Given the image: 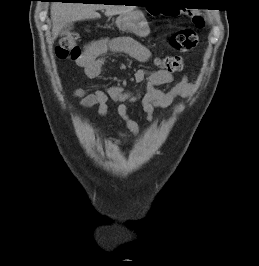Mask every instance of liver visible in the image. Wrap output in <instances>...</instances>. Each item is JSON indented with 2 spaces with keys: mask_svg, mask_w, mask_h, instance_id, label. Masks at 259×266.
<instances>
[{
  "mask_svg": "<svg viewBox=\"0 0 259 266\" xmlns=\"http://www.w3.org/2000/svg\"><path fill=\"white\" fill-rule=\"evenodd\" d=\"M105 9V15H116L132 10L123 5L83 4L55 2L51 5L52 40H55L62 29L72 22L99 18L98 10Z\"/></svg>",
  "mask_w": 259,
  "mask_h": 266,
  "instance_id": "1",
  "label": "liver"
}]
</instances>
